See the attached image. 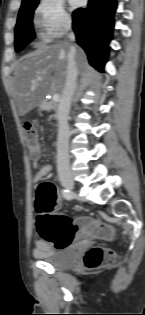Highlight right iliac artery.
<instances>
[{"label": "right iliac artery", "instance_id": "82829eb1", "mask_svg": "<svg viewBox=\"0 0 145 315\" xmlns=\"http://www.w3.org/2000/svg\"><path fill=\"white\" fill-rule=\"evenodd\" d=\"M61 193H62L63 197H64L66 200H71V199H72V195L70 194L69 190H67V189H62V190H61Z\"/></svg>", "mask_w": 145, "mask_h": 315}]
</instances>
